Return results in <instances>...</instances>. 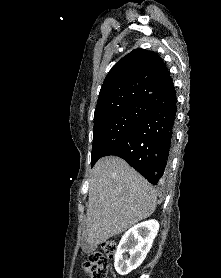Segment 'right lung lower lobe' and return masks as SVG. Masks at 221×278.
Listing matches in <instances>:
<instances>
[{"label":"right lung lower lobe","mask_w":221,"mask_h":278,"mask_svg":"<svg viewBox=\"0 0 221 278\" xmlns=\"http://www.w3.org/2000/svg\"><path fill=\"white\" fill-rule=\"evenodd\" d=\"M149 113L136 127L102 155L123 158L150 183L161 182L167 172L176 116L175 87H171L146 100Z\"/></svg>","instance_id":"1"}]
</instances>
